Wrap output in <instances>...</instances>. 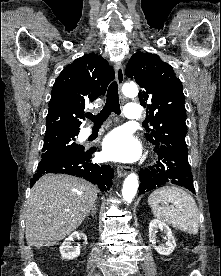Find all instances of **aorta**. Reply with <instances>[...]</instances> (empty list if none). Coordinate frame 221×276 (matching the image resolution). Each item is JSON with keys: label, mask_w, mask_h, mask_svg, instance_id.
<instances>
[{"label": "aorta", "mask_w": 221, "mask_h": 276, "mask_svg": "<svg viewBox=\"0 0 221 276\" xmlns=\"http://www.w3.org/2000/svg\"><path fill=\"white\" fill-rule=\"evenodd\" d=\"M123 94L128 97H136L138 95V87L134 83H126L122 87ZM138 189V176L135 173L129 174L122 189V196L125 202L131 203Z\"/></svg>", "instance_id": "762f6f07"}]
</instances>
